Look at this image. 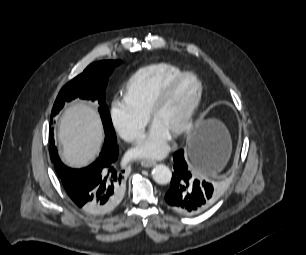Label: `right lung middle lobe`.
Wrapping results in <instances>:
<instances>
[{
    "instance_id": "1",
    "label": "right lung middle lobe",
    "mask_w": 306,
    "mask_h": 255,
    "mask_svg": "<svg viewBox=\"0 0 306 255\" xmlns=\"http://www.w3.org/2000/svg\"><path fill=\"white\" fill-rule=\"evenodd\" d=\"M121 63L117 61H100L90 64L80 75L67 83L59 92L54 103L51 117L53 118L64 106L66 101H71L77 97L88 100H98V108L104 131L105 142H116V134L112 125L110 113L105 103V89L108 77L111 75L115 66ZM50 143L53 144V130H50ZM56 152V150H54ZM54 164L60 162L58 154L51 155Z\"/></svg>"
}]
</instances>
